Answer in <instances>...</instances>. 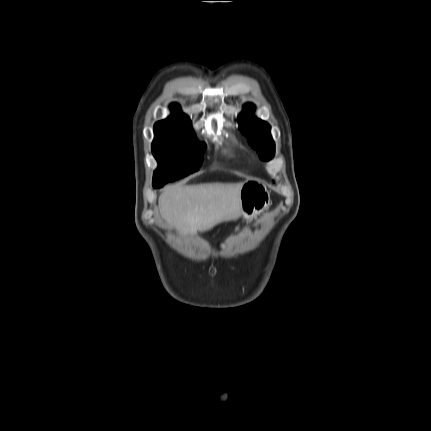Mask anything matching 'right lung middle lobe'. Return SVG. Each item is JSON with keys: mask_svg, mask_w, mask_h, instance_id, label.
<instances>
[{"mask_svg": "<svg viewBox=\"0 0 431 431\" xmlns=\"http://www.w3.org/2000/svg\"><path fill=\"white\" fill-rule=\"evenodd\" d=\"M152 153L159 166L153 174V185L164 184L199 170L206 144L197 141L193 131L154 127Z\"/></svg>", "mask_w": 431, "mask_h": 431, "instance_id": "1", "label": "right lung middle lobe"}]
</instances>
